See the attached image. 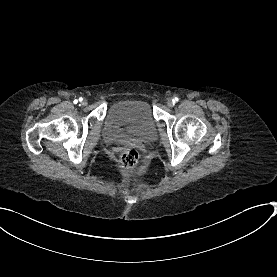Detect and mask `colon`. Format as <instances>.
Instances as JSON below:
<instances>
[{
    "label": "colon",
    "instance_id": "1",
    "mask_svg": "<svg viewBox=\"0 0 277 277\" xmlns=\"http://www.w3.org/2000/svg\"><path fill=\"white\" fill-rule=\"evenodd\" d=\"M116 161L124 172L133 177H140L145 172V165L141 161V154L136 145L130 144L119 150L116 154Z\"/></svg>",
    "mask_w": 277,
    "mask_h": 277
}]
</instances>
